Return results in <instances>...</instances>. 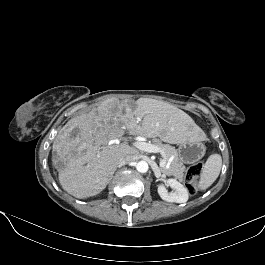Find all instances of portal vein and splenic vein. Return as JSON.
<instances>
[{
  "label": "portal vein and splenic vein",
  "mask_w": 265,
  "mask_h": 265,
  "mask_svg": "<svg viewBox=\"0 0 265 265\" xmlns=\"http://www.w3.org/2000/svg\"><path fill=\"white\" fill-rule=\"evenodd\" d=\"M133 145L138 148L139 150L148 152V153H160L162 155V160L160 162V167H168L169 163L166 162V155L163 150H161L158 146L143 142V141H135ZM99 157V154H97V158Z\"/></svg>",
  "instance_id": "1"
}]
</instances>
